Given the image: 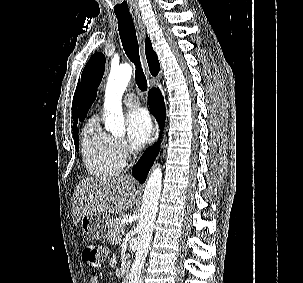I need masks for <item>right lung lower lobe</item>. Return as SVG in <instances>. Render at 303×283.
<instances>
[{
	"mask_svg": "<svg viewBox=\"0 0 303 283\" xmlns=\"http://www.w3.org/2000/svg\"><path fill=\"white\" fill-rule=\"evenodd\" d=\"M148 102L152 114L159 121L160 126L163 127L165 120V105L158 88H153L149 91ZM158 147L159 145L157 144L154 147L148 148L137 164L133 167L132 174L140 183L145 182L149 169L157 155Z\"/></svg>",
	"mask_w": 303,
	"mask_h": 283,
	"instance_id": "right-lung-lower-lobe-1",
	"label": "right lung lower lobe"
}]
</instances>
